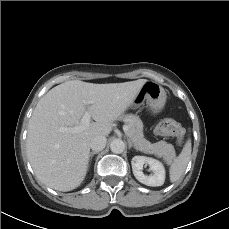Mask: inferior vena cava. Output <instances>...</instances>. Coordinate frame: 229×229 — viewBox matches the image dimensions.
<instances>
[{
    "label": "inferior vena cava",
    "instance_id": "602c4592",
    "mask_svg": "<svg viewBox=\"0 0 229 229\" xmlns=\"http://www.w3.org/2000/svg\"><path fill=\"white\" fill-rule=\"evenodd\" d=\"M106 141L105 136L97 135L91 139L89 146L93 151L99 152L105 148Z\"/></svg>",
    "mask_w": 229,
    "mask_h": 229
}]
</instances>
